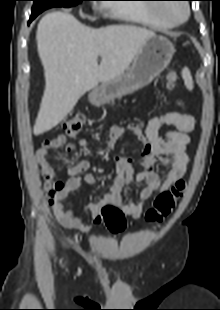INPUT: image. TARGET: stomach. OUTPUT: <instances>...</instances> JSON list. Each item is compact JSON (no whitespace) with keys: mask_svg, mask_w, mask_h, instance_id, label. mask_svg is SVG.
I'll list each match as a JSON object with an SVG mask.
<instances>
[{"mask_svg":"<svg viewBox=\"0 0 220 310\" xmlns=\"http://www.w3.org/2000/svg\"><path fill=\"white\" fill-rule=\"evenodd\" d=\"M173 54L174 46L166 37L156 35L148 38L127 72L94 88L89 94L90 102L105 104L148 85L169 65Z\"/></svg>","mask_w":220,"mask_h":310,"instance_id":"stomach-1","label":"stomach"}]
</instances>
